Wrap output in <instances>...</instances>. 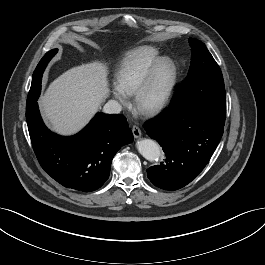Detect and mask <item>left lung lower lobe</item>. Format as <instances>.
Segmentation results:
<instances>
[{
    "instance_id": "0a47b994",
    "label": "left lung lower lobe",
    "mask_w": 265,
    "mask_h": 265,
    "mask_svg": "<svg viewBox=\"0 0 265 265\" xmlns=\"http://www.w3.org/2000/svg\"><path fill=\"white\" fill-rule=\"evenodd\" d=\"M224 124L193 107H170L146 123L147 134L166 155L164 162L147 170L150 181L164 190H177L190 183L210 160Z\"/></svg>"
}]
</instances>
